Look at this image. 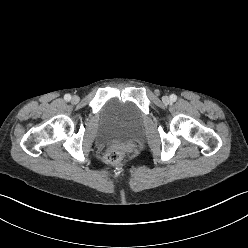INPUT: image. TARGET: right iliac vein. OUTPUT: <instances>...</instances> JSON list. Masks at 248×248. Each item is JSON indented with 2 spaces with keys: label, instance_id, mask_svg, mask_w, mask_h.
Wrapping results in <instances>:
<instances>
[{
  "label": "right iliac vein",
  "instance_id": "63e3f726",
  "mask_svg": "<svg viewBox=\"0 0 248 248\" xmlns=\"http://www.w3.org/2000/svg\"><path fill=\"white\" fill-rule=\"evenodd\" d=\"M72 103L76 104L79 102V97L77 95L73 96L71 99Z\"/></svg>",
  "mask_w": 248,
  "mask_h": 248
}]
</instances>
